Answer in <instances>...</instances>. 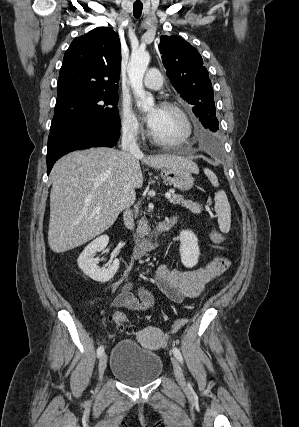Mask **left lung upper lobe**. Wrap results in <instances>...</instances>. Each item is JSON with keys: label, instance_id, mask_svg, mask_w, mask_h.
<instances>
[{"label": "left lung upper lobe", "instance_id": "1", "mask_svg": "<svg viewBox=\"0 0 299 427\" xmlns=\"http://www.w3.org/2000/svg\"><path fill=\"white\" fill-rule=\"evenodd\" d=\"M162 62L172 85L181 97L193 105V112L206 128L217 132L218 120L209 73L196 48L179 36L160 37Z\"/></svg>", "mask_w": 299, "mask_h": 427}]
</instances>
